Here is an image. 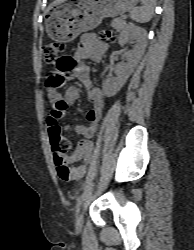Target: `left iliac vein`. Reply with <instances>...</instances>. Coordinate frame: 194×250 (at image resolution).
<instances>
[{
    "label": "left iliac vein",
    "instance_id": "left-iliac-vein-1",
    "mask_svg": "<svg viewBox=\"0 0 194 250\" xmlns=\"http://www.w3.org/2000/svg\"><path fill=\"white\" fill-rule=\"evenodd\" d=\"M82 223H83V212H80V213L78 214V216H77L76 228H77V229H81Z\"/></svg>",
    "mask_w": 194,
    "mask_h": 250
}]
</instances>
